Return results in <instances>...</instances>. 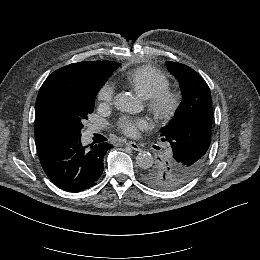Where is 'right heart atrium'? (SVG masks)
I'll use <instances>...</instances> for the list:
<instances>
[{
    "label": "right heart atrium",
    "instance_id": "d8ad5b80",
    "mask_svg": "<svg viewBox=\"0 0 260 260\" xmlns=\"http://www.w3.org/2000/svg\"><path fill=\"white\" fill-rule=\"evenodd\" d=\"M116 92V86L111 81H106L99 89L97 97L100 101L110 103Z\"/></svg>",
    "mask_w": 260,
    "mask_h": 260
}]
</instances>
